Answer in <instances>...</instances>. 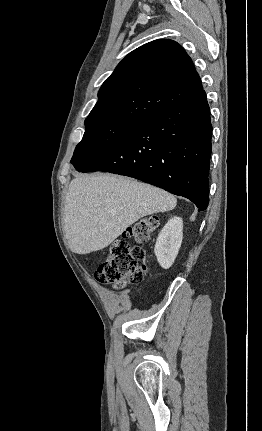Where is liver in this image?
Masks as SVG:
<instances>
[{
	"label": "liver",
	"instance_id": "6515ba94",
	"mask_svg": "<svg viewBox=\"0 0 262 431\" xmlns=\"http://www.w3.org/2000/svg\"><path fill=\"white\" fill-rule=\"evenodd\" d=\"M176 198L159 188L110 174L79 176L69 185L64 230L72 252L88 254L109 246L140 218L170 211Z\"/></svg>",
	"mask_w": 262,
	"mask_h": 431
}]
</instances>
